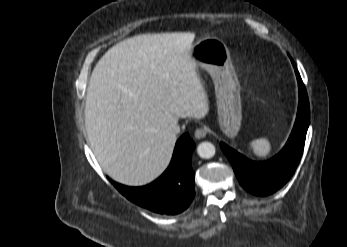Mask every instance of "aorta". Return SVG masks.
Masks as SVG:
<instances>
[{
	"label": "aorta",
	"instance_id": "aorta-1",
	"mask_svg": "<svg viewBox=\"0 0 347 247\" xmlns=\"http://www.w3.org/2000/svg\"><path fill=\"white\" fill-rule=\"evenodd\" d=\"M216 153L215 146L208 141L202 142L197 147V154L204 159L212 158Z\"/></svg>",
	"mask_w": 347,
	"mask_h": 247
}]
</instances>
